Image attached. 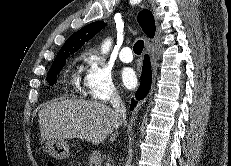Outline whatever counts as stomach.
Returning <instances> with one entry per match:
<instances>
[{
	"mask_svg": "<svg viewBox=\"0 0 231 166\" xmlns=\"http://www.w3.org/2000/svg\"><path fill=\"white\" fill-rule=\"evenodd\" d=\"M49 154L56 159H66L70 156V148L64 139H51L46 142Z\"/></svg>",
	"mask_w": 231,
	"mask_h": 166,
	"instance_id": "stomach-1",
	"label": "stomach"
}]
</instances>
